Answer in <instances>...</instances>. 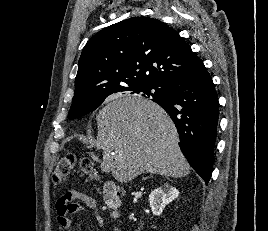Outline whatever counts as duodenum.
I'll return each mask as SVG.
<instances>
[{
	"mask_svg": "<svg viewBox=\"0 0 268 231\" xmlns=\"http://www.w3.org/2000/svg\"><path fill=\"white\" fill-rule=\"evenodd\" d=\"M105 202L108 208L113 212V217L118 219L120 217L119 208L121 203V198L119 193L116 191L112 184H106L104 187Z\"/></svg>",
	"mask_w": 268,
	"mask_h": 231,
	"instance_id": "obj_1",
	"label": "duodenum"
}]
</instances>
